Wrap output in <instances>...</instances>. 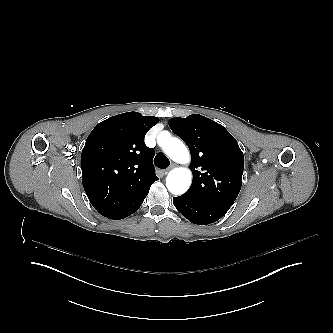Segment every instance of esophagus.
I'll list each match as a JSON object with an SVG mask.
<instances>
[{
	"mask_svg": "<svg viewBox=\"0 0 333 333\" xmlns=\"http://www.w3.org/2000/svg\"><path fill=\"white\" fill-rule=\"evenodd\" d=\"M177 167V164L173 163L171 164L167 169L163 171L164 174H167L171 169Z\"/></svg>",
	"mask_w": 333,
	"mask_h": 333,
	"instance_id": "34e87169",
	"label": "esophagus"
}]
</instances>
